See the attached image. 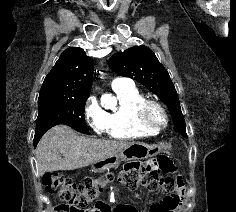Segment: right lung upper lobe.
<instances>
[{
    "label": "right lung upper lobe",
    "instance_id": "obj_1",
    "mask_svg": "<svg viewBox=\"0 0 236 212\" xmlns=\"http://www.w3.org/2000/svg\"><path fill=\"white\" fill-rule=\"evenodd\" d=\"M92 79V59L79 47L67 48L45 77L39 99L89 96Z\"/></svg>",
    "mask_w": 236,
    "mask_h": 212
}]
</instances>
